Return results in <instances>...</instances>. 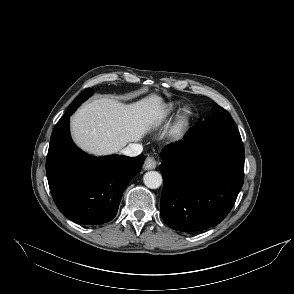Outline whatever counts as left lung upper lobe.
<instances>
[{"label":"left lung upper lobe","instance_id":"obj_1","mask_svg":"<svg viewBox=\"0 0 294 294\" xmlns=\"http://www.w3.org/2000/svg\"><path fill=\"white\" fill-rule=\"evenodd\" d=\"M212 112L214 117H231L228 111H226L225 109H223L222 107L218 105H215L212 108Z\"/></svg>","mask_w":294,"mask_h":294}]
</instances>
